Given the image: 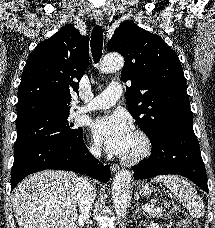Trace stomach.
<instances>
[{
    "instance_id": "0dacf381",
    "label": "stomach",
    "mask_w": 215,
    "mask_h": 228,
    "mask_svg": "<svg viewBox=\"0 0 215 228\" xmlns=\"http://www.w3.org/2000/svg\"><path fill=\"white\" fill-rule=\"evenodd\" d=\"M139 196H151L153 192L152 186L146 184V182H137Z\"/></svg>"
}]
</instances>
